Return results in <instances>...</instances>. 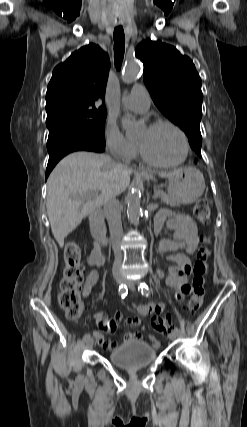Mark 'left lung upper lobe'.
<instances>
[{
	"label": "left lung upper lobe",
	"mask_w": 247,
	"mask_h": 427,
	"mask_svg": "<svg viewBox=\"0 0 247 427\" xmlns=\"http://www.w3.org/2000/svg\"><path fill=\"white\" fill-rule=\"evenodd\" d=\"M144 64L143 78L159 110L188 136L201 158V79L192 60L173 46L149 39L135 51Z\"/></svg>",
	"instance_id": "left-lung-upper-lobe-1"
}]
</instances>
